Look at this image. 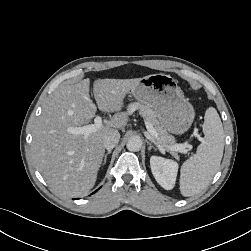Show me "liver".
Here are the masks:
<instances>
[{"mask_svg":"<svg viewBox=\"0 0 251 251\" xmlns=\"http://www.w3.org/2000/svg\"><path fill=\"white\" fill-rule=\"evenodd\" d=\"M140 79L94 81L98 109L116 114L87 137L68 129L88 123L96 114L89 79L60 86L46 101L33 127L31 151L36 167L54 191L79 197L93 188L105 153L104 138L126 126L128 116L120 111Z\"/></svg>","mask_w":251,"mask_h":251,"instance_id":"obj_1","label":"liver"}]
</instances>
